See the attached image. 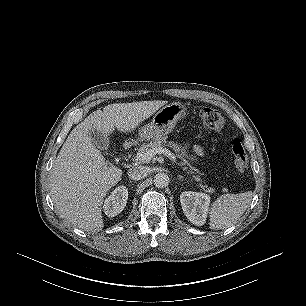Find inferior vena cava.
<instances>
[{
    "label": "inferior vena cava",
    "instance_id": "inferior-vena-cava-1",
    "mask_svg": "<svg viewBox=\"0 0 306 306\" xmlns=\"http://www.w3.org/2000/svg\"><path fill=\"white\" fill-rule=\"evenodd\" d=\"M149 173V169L145 166H134L128 170V176L133 180H141Z\"/></svg>",
    "mask_w": 306,
    "mask_h": 306
}]
</instances>
